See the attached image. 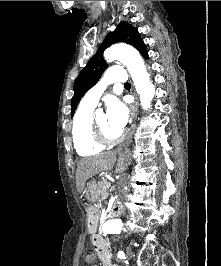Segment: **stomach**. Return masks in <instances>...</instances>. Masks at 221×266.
Masks as SVG:
<instances>
[{"label":"stomach","mask_w":221,"mask_h":266,"mask_svg":"<svg viewBox=\"0 0 221 266\" xmlns=\"http://www.w3.org/2000/svg\"><path fill=\"white\" fill-rule=\"evenodd\" d=\"M83 194L86 199L95 204L94 207H90L87 211L88 225L93 227L98 218V203L101 200L100 188L95 180H90L87 182Z\"/></svg>","instance_id":"1"}]
</instances>
